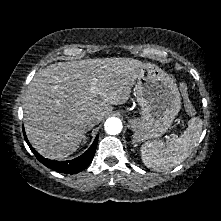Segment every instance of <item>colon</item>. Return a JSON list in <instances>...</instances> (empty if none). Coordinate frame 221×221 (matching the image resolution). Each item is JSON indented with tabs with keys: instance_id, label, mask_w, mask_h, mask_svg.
<instances>
[{
	"instance_id": "1",
	"label": "colon",
	"mask_w": 221,
	"mask_h": 221,
	"mask_svg": "<svg viewBox=\"0 0 221 221\" xmlns=\"http://www.w3.org/2000/svg\"><path fill=\"white\" fill-rule=\"evenodd\" d=\"M180 90H181L183 97H184V105H185V109H186L187 113L190 115H195L196 109L189 98L187 85L185 83H181Z\"/></svg>"
}]
</instances>
